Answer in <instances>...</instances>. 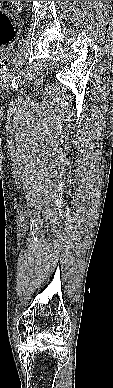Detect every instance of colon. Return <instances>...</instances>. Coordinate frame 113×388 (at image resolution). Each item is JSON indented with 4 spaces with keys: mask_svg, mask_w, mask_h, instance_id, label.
<instances>
[{
    "mask_svg": "<svg viewBox=\"0 0 113 388\" xmlns=\"http://www.w3.org/2000/svg\"><path fill=\"white\" fill-rule=\"evenodd\" d=\"M15 36V29L8 12L0 10V47L9 44Z\"/></svg>",
    "mask_w": 113,
    "mask_h": 388,
    "instance_id": "1",
    "label": "colon"
}]
</instances>
